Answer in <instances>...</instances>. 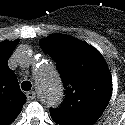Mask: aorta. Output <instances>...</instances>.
I'll list each match as a JSON object with an SVG mask.
<instances>
[{"label": "aorta", "instance_id": "762f6f07", "mask_svg": "<svg viewBox=\"0 0 125 125\" xmlns=\"http://www.w3.org/2000/svg\"><path fill=\"white\" fill-rule=\"evenodd\" d=\"M38 96L48 107L58 106L63 99V86L59 74L52 63H44L35 71Z\"/></svg>", "mask_w": 125, "mask_h": 125}]
</instances>
